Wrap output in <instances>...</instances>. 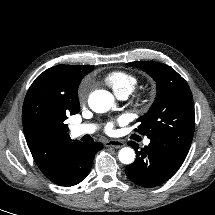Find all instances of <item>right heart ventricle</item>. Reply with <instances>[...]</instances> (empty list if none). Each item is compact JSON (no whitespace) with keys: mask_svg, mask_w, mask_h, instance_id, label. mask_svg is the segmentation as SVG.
Segmentation results:
<instances>
[{"mask_svg":"<svg viewBox=\"0 0 215 215\" xmlns=\"http://www.w3.org/2000/svg\"><path fill=\"white\" fill-rule=\"evenodd\" d=\"M104 82L119 96L121 94H131L139 83V78L134 73L114 70L107 73Z\"/></svg>","mask_w":215,"mask_h":215,"instance_id":"right-heart-ventricle-1","label":"right heart ventricle"}]
</instances>
